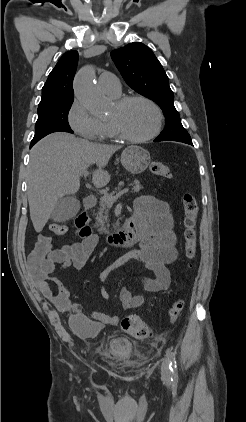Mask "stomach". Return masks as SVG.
I'll return each mask as SVG.
<instances>
[{
  "instance_id": "obj_1",
  "label": "stomach",
  "mask_w": 246,
  "mask_h": 422,
  "mask_svg": "<svg viewBox=\"0 0 246 422\" xmlns=\"http://www.w3.org/2000/svg\"><path fill=\"white\" fill-rule=\"evenodd\" d=\"M150 161L149 152L137 145L127 146L121 154L122 165L132 174L145 171Z\"/></svg>"
}]
</instances>
